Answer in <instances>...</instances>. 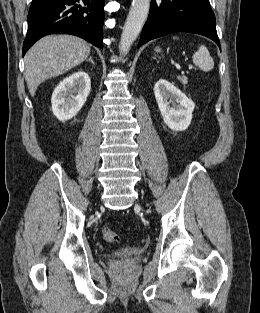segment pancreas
Listing matches in <instances>:
<instances>
[{
	"mask_svg": "<svg viewBox=\"0 0 260 313\" xmlns=\"http://www.w3.org/2000/svg\"><path fill=\"white\" fill-rule=\"evenodd\" d=\"M179 80L181 81L182 84L186 85L188 83V79L186 76H182L179 78Z\"/></svg>",
	"mask_w": 260,
	"mask_h": 313,
	"instance_id": "pancreas-1",
	"label": "pancreas"
}]
</instances>
